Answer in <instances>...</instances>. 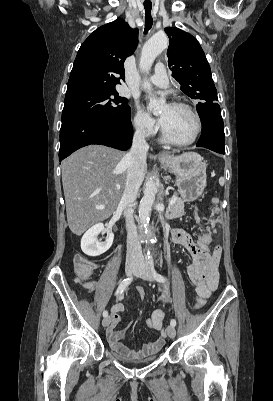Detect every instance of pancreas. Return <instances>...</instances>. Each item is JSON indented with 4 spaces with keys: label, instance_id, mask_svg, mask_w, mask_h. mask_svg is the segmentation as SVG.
<instances>
[{
    "label": "pancreas",
    "instance_id": "1",
    "mask_svg": "<svg viewBox=\"0 0 273 401\" xmlns=\"http://www.w3.org/2000/svg\"><path fill=\"white\" fill-rule=\"evenodd\" d=\"M169 198V201L170 202ZM185 215L184 213V201H182V198H178L175 200L174 205L168 207L166 209L165 217L166 219H177V217H183Z\"/></svg>",
    "mask_w": 273,
    "mask_h": 401
}]
</instances>
